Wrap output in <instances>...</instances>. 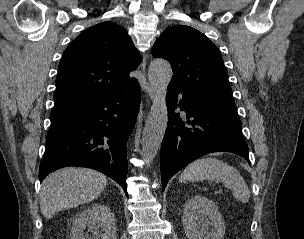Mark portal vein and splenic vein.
Returning a JSON list of instances; mask_svg holds the SVG:
<instances>
[{
  "label": "portal vein and splenic vein",
  "mask_w": 304,
  "mask_h": 239,
  "mask_svg": "<svg viewBox=\"0 0 304 239\" xmlns=\"http://www.w3.org/2000/svg\"><path fill=\"white\" fill-rule=\"evenodd\" d=\"M217 192H218V193H221V192H222V190H218Z\"/></svg>",
  "instance_id": "1"
}]
</instances>
